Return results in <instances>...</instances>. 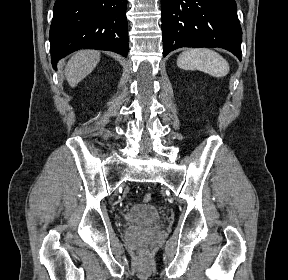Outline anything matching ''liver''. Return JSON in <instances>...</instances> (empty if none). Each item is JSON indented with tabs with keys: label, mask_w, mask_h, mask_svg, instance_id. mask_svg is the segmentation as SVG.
<instances>
[{
	"label": "liver",
	"mask_w": 288,
	"mask_h": 280,
	"mask_svg": "<svg viewBox=\"0 0 288 280\" xmlns=\"http://www.w3.org/2000/svg\"><path fill=\"white\" fill-rule=\"evenodd\" d=\"M99 61L100 53L98 51L85 50L75 53L65 68V76L69 85L76 87L94 70Z\"/></svg>",
	"instance_id": "6515ba94"
}]
</instances>
